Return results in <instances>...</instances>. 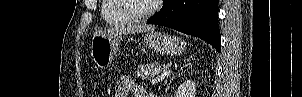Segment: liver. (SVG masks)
Wrapping results in <instances>:
<instances>
[{"mask_svg": "<svg viewBox=\"0 0 302 97\" xmlns=\"http://www.w3.org/2000/svg\"><path fill=\"white\" fill-rule=\"evenodd\" d=\"M149 31H154V28L147 25H127V26L123 25V26L110 28L104 31H97L94 33L93 37L97 35L135 34V33L149 32Z\"/></svg>", "mask_w": 302, "mask_h": 97, "instance_id": "1", "label": "liver"}]
</instances>
